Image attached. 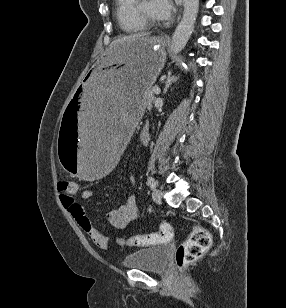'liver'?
I'll return each instance as SVG.
<instances>
[{"label":"liver","mask_w":286,"mask_h":308,"mask_svg":"<svg viewBox=\"0 0 286 308\" xmlns=\"http://www.w3.org/2000/svg\"><path fill=\"white\" fill-rule=\"evenodd\" d=\"M148 35V33H137V34H131L128 36H124L118 39H115L109 46L108 51H110L112 48H114L116 45L123 43L125 41H130L138 38H144ZM107 51V52H108Z\"/></svg>","instance_id":"obj_1"}]
</instances>
